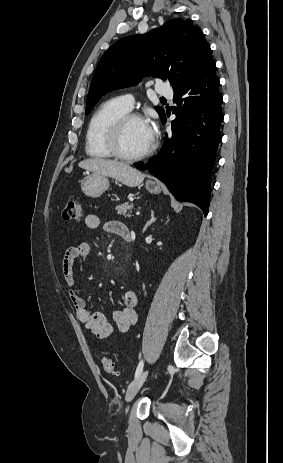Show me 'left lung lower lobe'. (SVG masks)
Listing matches in <instances>:
<instances>
[{
  "instance_id": "obj_1",
  "label": "left lung lower lobe",
  "mask_w": 283,
  "mask_h": 463,
  "mask_svg": "<svg viewBox=\"0 0 283 463\" xmlns=\"http://www.w3.org/2000/svg\"><path fill=\"white\" fill-rule=\"evenodd\" d=\"M212 61L203 71L174 89L176 115L172 134L163 150L149 159L148 169L179 201L199 206L206 216L210 204V182L216 151L221 140L222 96ZM166 122V117L162 120Z\"/></svg>"
}]
</instances>
